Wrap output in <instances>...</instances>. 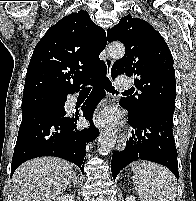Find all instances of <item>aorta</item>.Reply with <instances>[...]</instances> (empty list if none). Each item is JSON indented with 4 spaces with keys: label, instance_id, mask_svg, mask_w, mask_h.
I'll return each instance as SVG.
<instances>
[{
    "label": "aorta",
    "instance_id": "762f6f07",
    "mask_svg": "<svg viewBox=\"0 0 196 201\" xmlns=\"http://www.w3.org/2000/svg\"><path fill=\"white\" fill-rule=\"evenodd\" d=\"M107 53L112 58H122L125 54V47L120 44H110ZM116 133L112 130L107 131L98 139V151L101 155H108L116 144Z\"/></svg>",
    "mask_w": 196,
    "mask_h": 201
}]
</instances>
